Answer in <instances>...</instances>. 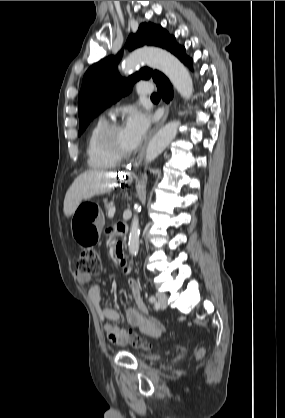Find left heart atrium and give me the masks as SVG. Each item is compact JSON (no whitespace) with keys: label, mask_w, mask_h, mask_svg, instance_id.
I'll use <instances>...</instances> for the list:
<instances>
[{"label":"left heart atrium","mask_w":285,"mask_h":418,"mask_svg":"<svg viewBox=\"0 0 285 418\" xmlns=\"http://www.w3.org/2000/svg\"><path fill=\"white\" fill-rule=\"evenodd\" d=\"M150 127L149 116L138 109L131 110L125 120L124 130L126 131L132 147L137 146Z\"/></svg>","instance_id":"39dd6f15"}]
</instances>
